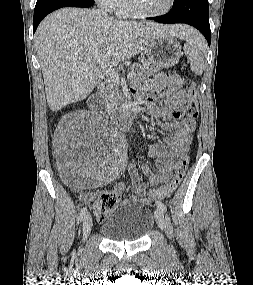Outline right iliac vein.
<instances>
[{"label":"right iliac vein","instance_id":"obj_1","mask_svg":"<svg viewBox=\"0 0 253 285\" xmlns=\"http://www.w3.org/2000/svg\"><path fill=\"white\" fill-rule=\"evenodd\" d=\"M91 228H92V217L91 215H86L83 221V225H82V232H83L84 240L87 239V237L89 236L91 232Z\"/></svg>","mask_w":253,"mask_h":285}]
</instances>
